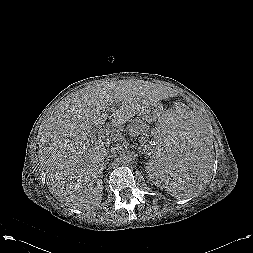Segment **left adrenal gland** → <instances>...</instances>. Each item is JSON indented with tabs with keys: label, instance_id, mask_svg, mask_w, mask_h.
<instances>
[{
	"label": "left adrenal gland",
	"instance_id": "left-adrenal-gland-1",
	"mask_svg": "<svg viewBox=\"0 0 253 253\" xmlns=\"http://www.w3.org/2000/svg\"><path fill=\"white\" fill-rule=\"evenodd\" d=\"M139 153H140V155H141V154H143V152H142V151H139Z\"/></svg>",
	"mask_w": 253,
	"mask_h": 253
}]
</instances>
